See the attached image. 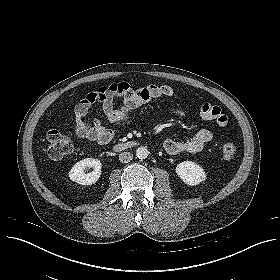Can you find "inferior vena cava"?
Segmentation results:
<instances>
[{
    "label": "inferior vena cava",
    "instance_id": "602c4592",
    "mask_svg": "<svg viewBox=\"0 0 280 280\" xmlns=\"http://www.w3.org/2000/svg\"><path fill=\"white\" fill-rule=\"evenodd\" d=\"M133 159V154L130 152H122L119 154V160L122 163H128Z\"/></svg>",
    "mask_w": 280,
    "mask_h": 280
}]
</instances>
